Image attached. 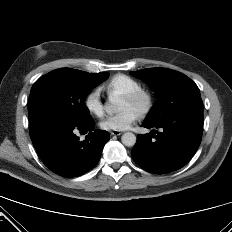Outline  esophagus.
<instances>
[{"label":"esophagus","mask_w":232,"mask_h":232,"mask_svg":"<svg viewBox=\"0 0 232 232\" xmlns=\"http://www.w3.org/2000/svg\"><path fill=\"white\" fill-rule=\"evenodd\" d=\"M122 133L120 132V131H111L110 132V135L111 136H119V135H121Z\"/></svg>","instance_id":"34e87169"}]
</instances>
